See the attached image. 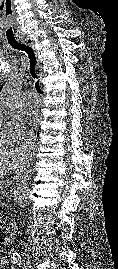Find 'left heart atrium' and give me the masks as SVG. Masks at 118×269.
Here are the masks:
<instances>
[{
    "label": "left heart atrium",
    "mask_w": 118,
    "mask_h": 269,
    "mask_svg": "<svg viewBox=\"0 0 118 269\" xmlns=\"http://www.w3.org/2000/svg\"><path fill=\"white\" fill-rule=\"evenodd\" d=\"M31 119H35V115L34 114L31 115Z\"/></svg>",
    "instance_id": "1"
}]
</instances>
